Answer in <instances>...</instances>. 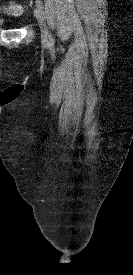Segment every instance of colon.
<instances>
[{
	"label": "colon",
	"mask_w": 133,
	"mask_h": 275,
	"mask_svg": "<svg viewBox=\"0 0 133 275\" xmlns=\"http://www.w3.org/2000/svg\"><path fill=\"white\" fill-rule=\"evenodd\" d=\"M6 11L10 15H19L22 12V7L20 5H17V4H14V3H10L6 7Z\"/></svg>",
	"instance_id": "colon-1"
}]
</instances>
